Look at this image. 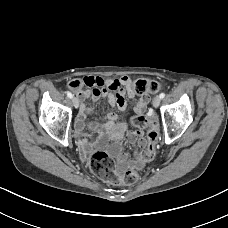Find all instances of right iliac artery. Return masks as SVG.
Returning <instances> with one entry per match:
<instances>
[{
	"label": "right iliac artery",
	"instance_id": "82829eb1",
	"mask_svg": "<svg viewBox=\"0 0 228 228\" xmlns=\"http://www.w3.org/2000/svg\"><path fill=\"white\" fill-rule=\"evenodd\" d=\"M67 96H68L69 98H73V95H72L71 92H67Z\"/></svg>",
	"mask_w": 228,
	"mask_h": 228
}]
</instances>
